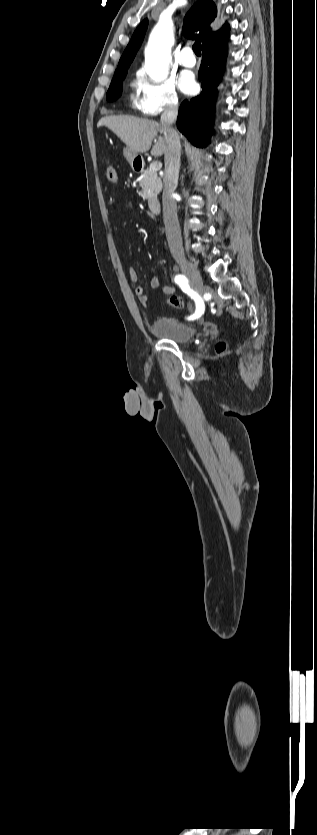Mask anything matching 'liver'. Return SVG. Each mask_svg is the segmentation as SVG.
<instances>
[{
  "instance_id": "liver-1",
  "label": "liver",
  "mask_w": 317,
  "mask_h": 835,
  "mask_svg": "<svg viewBox=\"0 0 317 835\" xmlns=\"http://www.w3.org/2000/svg\"><path fill=\"white\" fill-rule=\"evenodd\" d=\"M105 126L116 134L120 140L135 154L150 150L153 140H158L151 149V155L158 157L165 153L166 141L161 136V124L149 119L131 116L110 115L102 117L97 127ZM158 134H160L158 136Z\"/></svg>"
}]
</instances>
